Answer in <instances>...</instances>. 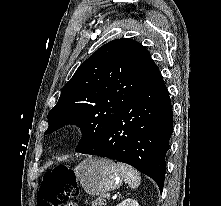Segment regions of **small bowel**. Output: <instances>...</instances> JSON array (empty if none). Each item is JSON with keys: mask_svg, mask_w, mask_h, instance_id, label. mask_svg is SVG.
<instances>
[{"mask_svg": "<svg viewBox=\"0 0 221 206\" xmlns=\"http://www.w3.org/2000/svg\"><path fill=\"white\" fill-rule=\"evenodd\" d=\"M66 206H78L76 203H68V204H66Z\"/></svg>", "mask_w": 221, "mask_h": 206, "instance_id": "1", "label": "small bowel"}]
</instances>
